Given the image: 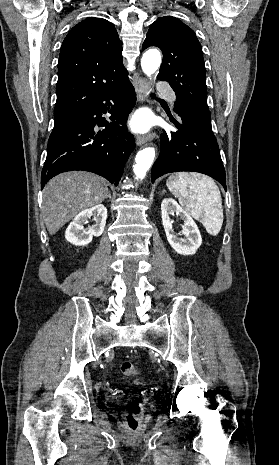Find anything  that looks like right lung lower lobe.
Returning <instances> with one entry per match:
<instances>
[{"instance_id": "1", "label": "right lung lower lobe", "mask_w": 279, "mask_h": 465, "mask_svg": "<svg viewBox=\"0 0 279 465\" xmlns=\"http://www.w3.org/2000/svg\"><path fill=\"white\" fill-rule=\"evenodd\" d=\"M135 102L134 88L127 80L75 114L48 145L42 188L53 176L72 170L96 173L117 186L135 147L133 135L125 126ZM107 111L111 114L110 123L102 117ZM96 125L105 129L97 133Z\"/></svg>"}]
</instances>
